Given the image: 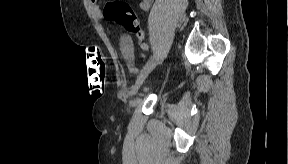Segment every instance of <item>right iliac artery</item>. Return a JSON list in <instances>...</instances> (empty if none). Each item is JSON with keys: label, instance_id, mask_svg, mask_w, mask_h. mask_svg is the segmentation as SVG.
<instances>
[{"label": "right iliac artery", "instance_id": "82829eb1", "mask_svg": "<svg viewBox=\"0 0 288 164\" xmlns=\"http://www.w3.org/2000/svg\"><path fill=\"white\" fill-rule=\"evenodd\" d=\"M141 48H142L143 50H148V45H147L146 43H142V44H141Z\"/></svg>", "mask_w": 288, "mask_h": 164}]
</instances>
